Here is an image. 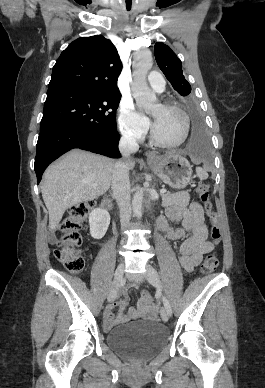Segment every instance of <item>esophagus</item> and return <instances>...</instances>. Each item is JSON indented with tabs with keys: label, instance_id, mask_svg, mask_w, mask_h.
I'll return each instance as SVG.
<instances>
[{
	"label": "esophagus",
	"instance_id": "1",
	"mask_svg": "<svg viewBox=\"0 0 265 388\" xmlns=\"http://www.w3.org/2000/svg\"><path fill=\"white\" fill-rule=\"evenodd\" d=\"M146 156H147V159L150 160L151 158H153V157L155 156V153H153V152H148V153L146 154Z\"/></svg>",
	"mask_w": 265,
	"mask_h": 388
}]
</instances>
